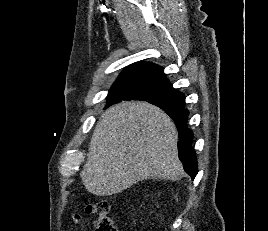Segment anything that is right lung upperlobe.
I'll use <instances>...</instances> for the list:
<instances>
[{"instance_id": "right-lung-upper-lobe-1", "label": "right lung upper lobe", "mask_w": 268, "mask_h": 231, "mask_svg": "<svg viewBox=\"0 0 268 231\" xmlns=\"http://www.w3.org/2000/svg\"><path fill=\"white\" fill-rule=\"evenodd\" d=\"M145 83H159L171 86L170 82L168 81L163 72L162 67L150 62H137L128 66L120 74V76L113 84L112 88L129 89ZM123 99L144 100L133 96L130 92H126L108 100L107 106L118 103ZM144 101L150 102L160 108L179 106V105H173L168 102L151 100V99H145Z\"/></svg>"}]
</instances>
